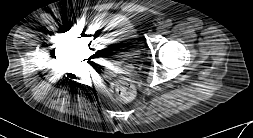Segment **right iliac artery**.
<instances>
[{
    "label": "right iliac artery",
    "mask_w": 253,
    "mask_h": 138,
    "mask_svg": "<svg viewBox=\"0 0 253 138\" xmlns=\"http://www.w3.org/2000/svg\"><path fill=\"white\" fill-rule=\"evenodd\" d=\"M74 24V22L72 21V20H69L68 22H67V26L69 27V28H71V26Z\"/></svg>",
    "instance_id": "obj_1"
}]
</instances>
